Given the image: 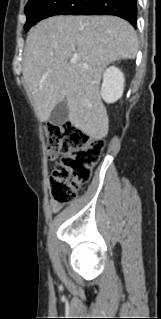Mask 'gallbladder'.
Listing matches in <instances>:
<instances>
[{
    "mask_svg": "<svg viewBox=\"0 0 161 319\" xmlns=\"http://www.w3.org/2000/svg\"><path fill=\"white\" fill-rule=\"evenodd\" d=\"M68 104L66 100L59 102L52 110L50 123L53 125H62L68 120Z\"/></svg>",
    "mask_w": 161,
    "mask_h": 319,
    "instance_id": "1",
    "label": "gallbladder"
}]
</instances>
